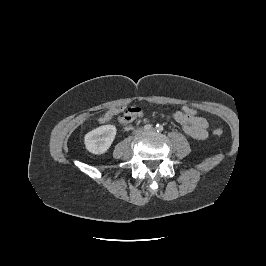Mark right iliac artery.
Listing matches in <instances>:
<instances>
[{
	"mask_svg": "<svg viewBox=\"0 0 266 266\" xmlns=\"http://www.w3.org/2000/svg\"><path fill=\"white\" fill-rule=\"evenodd\" d=\"M144 129H145L146 131H150V130L152 129V125L147 124V125L144 126Z\"/></svg>",
	"mask_w": 266,
	"mask_h": 266,
	"instance_id": "right-iliac-artery-1",
	"label": "right iliac artery"
}]
</instances>
